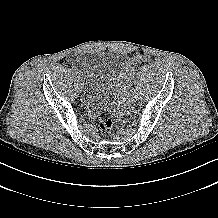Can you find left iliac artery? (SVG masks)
<instances>
[{"label": "left iliac artery", "instance_id": "1", "mask_svg": "<svg viewBox=\"0 0 218 218\" xmlns=\"http://www.w3.org/2000/svg\"><path fill=\"white\" fill-rule=\"evenodd\" d=\"M126 93H128L129 96L133 95V92L130 91V88H126Z\"/></svg>", "mask_w": 218, "mask_h": 218}]
</instances>
